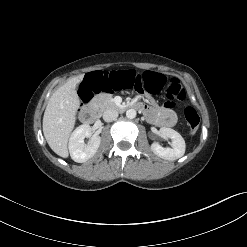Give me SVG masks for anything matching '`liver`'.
<instances>
[{
  "label": "liver",
  "instance_id": "1",
  "mask_svg": "<svg viewBox=\"0 0 247 247\" xmlns=\"http://www.w3.org/2000/svg\"><path fill=\"white\" fill-rule=\"evenodd\" d=\"M83 75L71 78L51 96L43 116V134L50 148L67 158L68 139L74 129L80 100L75 90Z\"/></svg>",
  "mask_w": 247,
  "mask_h": 247
}]
</instances>
